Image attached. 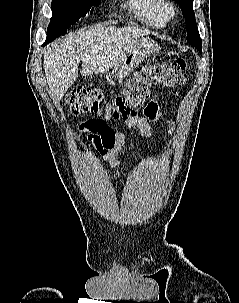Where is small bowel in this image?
Segmentation results:
<instances>
[{
	"instance_id": "small-bowel-1",
	"label": "small bowel",
	"mask_w": 239,
	"mask_h": 303,
	"mask_svg": "<svg viewBox=\"0 0 239 303\" xmlns=\"http://www.w3.org/2000/svg\"><path fill=\"white\" fill-rule=\"evenodd\" d=\"M161 120V113L158 101L151 99L143 110L142 116H135L127 120L129 127H137L145 137L153 134L152 124ZM96 119H89L80 125V131L87 134V139L92 141L95 148L104 159L106 167L113 173L119 172L120 166L116 160V155L124 145L125 138L121 132L113 128H103L97 130L94 123Z\"/></svg>"
}]
</instances>
